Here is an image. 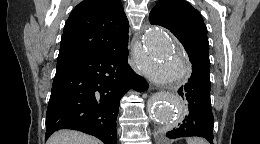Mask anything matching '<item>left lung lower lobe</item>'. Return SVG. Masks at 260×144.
I'll list each match as a JSON object with an SVG mask.
<instances>
[{"mask_svg":"<svg viewBox=\"0 0 260 144\" xmlns=\"http://www.w3.org/2000/svg\"><path fill=\"white\" fill-rule=\"evenodd\" d=\"M191 77L178 90L180 97L188 106L187 113L179 126L169 132L167 137L175 139L186 136H200L213 143L214 117L211 110L209 76L210 63L197 58H190Z\"/></svg>","mask_w":260,"mask_h":144,"instance_id":"left-lung-lower-lobe-1","label":"left lung lower lobe"}]
</instances>
